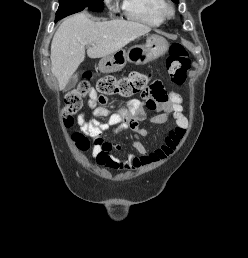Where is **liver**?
Returning <instances> with one entry per match:
<instances>
[{
  "instance_id": "liver-1",
  "label": "liver",
  "mask_w": 248,
  "mask_h": 258,
  "mask_svg": "<svg viewBox=\"0 0 248 258\" xmlns=\"http://www.w3.org/2000/svg\"><path fill=\"white\" fill-rule=\"evenodd\" d=\"M151 31L150 27L125 20L95 22L88 14L78 13L63 21L51 43V71L60 90L85 59V46L90 58H103Z\"/></svg>"
}]
</instances>
